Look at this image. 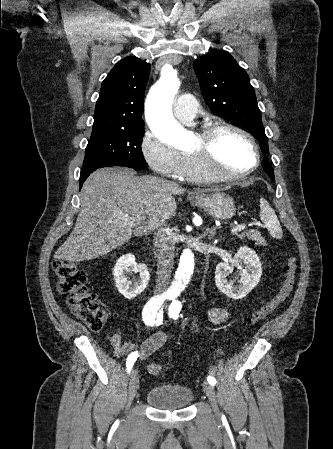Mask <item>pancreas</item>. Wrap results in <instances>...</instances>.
<instances>
[{
	"mask_svg": "<svg viewBox=\"0 0 333 449\" xmlns=\"http://www.w3.org/2000/svg\"><path fill=\"white\" fill-rule=\"evenodd\" d=\"M244 236H246L249 240L254 241L256 245H264V239L261 236L260 232L257 230L245 231L241 235H239L240 238Z\"/></svg>",
	"mask_w": 333,
	"mask_h": 449,
	"instance_id": "obj_1",
	"label": "pancreas"
}]
</instances>
